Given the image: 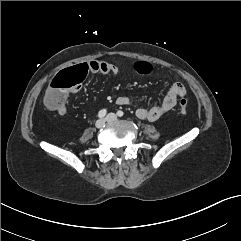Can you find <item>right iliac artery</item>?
<instances>
[{"mask_svg": "<svg viewBox=\"0 0 241 241\" xmlns=\"http://www.w3.org/2000/svg\"><path fill=\"white\" fill-rule=\"evenodd\" d=\"M106 113H107L106 109H102L99 111L98 117L103 118L106 115Z\"/></svg>", "mask_w": 241, "mask_h": 241, "instance_id": "obj_1", "label": "right iliac artery"}]
</instances>
